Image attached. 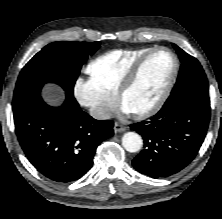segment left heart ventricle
<instances>
[{
    "label": "left heart ventricle",
    "instance_id": "b2bd125f",
    "mask_svg": "<svg viewBox=\"0 0 222 219\" xmlns=\"http://www.w3.org/2000/svg\"><path fill=\"white\" fill-rule=\"evenodd\" d=\"M173 68V58L165 51L151 55L141 68L133 87L124 96L123 105L132 113L142 111L161 95Z\"/></svg>",
    "mask_w": 222,
    "mask_h": 219
}]
</instances>
